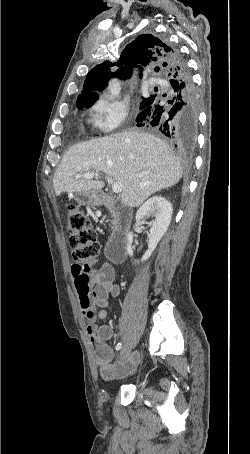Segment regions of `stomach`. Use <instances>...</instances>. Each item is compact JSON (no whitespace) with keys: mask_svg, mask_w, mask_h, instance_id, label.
I'll use <instances>...</instances> for the list:
<instances>
[{"mask_svg":"<svg viewBox=\"0 0 250 454\" xmlns=\"http://www.w3.org/2000/svg\"><path fill=\"white\" fill-rule=\"evenodd\" d=\"M79 200L88 205H98L101 201L100 196L96 191L80 192Z\"/></svg>","mask_w":250,"mask_h":454,"instance_id":"stomach-1","label":"stomach"}]
</instances>
